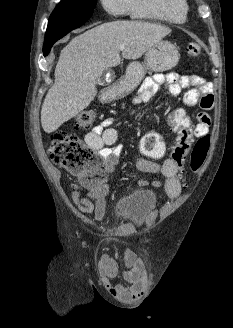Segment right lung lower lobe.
Wrapping results in <instances>:
<instances>
[{
  "label": "right lung lower lobe",
  "mask_w": 233,
  "mask_h": 328,
  "mask_svg": "<svg viewBox=\"0 0 233 328\" xmlns=\"http://www.w3.org/2000/svg\"><path fill=\"white\" fill-rule=\"evenodd\" d=\"M90 17H56L50 18L44 41L43 53L47 56L52 45L68 34L71 30L80 27Z\"/></svg>",
  "instance_id": "98d812e1"
}]
</instances>
